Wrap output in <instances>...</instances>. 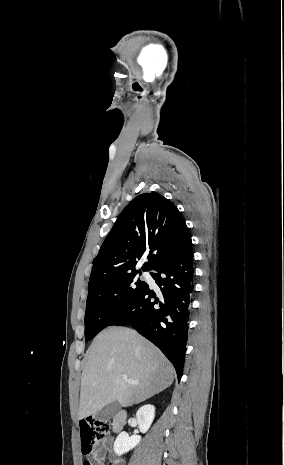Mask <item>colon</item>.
I'll use <instances>...</instances> for the list:
<instances>
[{
	"mask_svg": "<svg viewBox=\"0 0 284 465\" xmlns=\"http://www.w3.org/2000/svg\"><path fill=\"white\" fill-rule=\"evenodd\" d=\"M110 434V424L108 422H92L89 426L81 430V455L87 457L93 450L96 441L103 440ZM84 465H90L85 462Z\"/></svg>",
	"mask_w": 284,
	"mask_h": 465,
	"instance_id": "5ec220e1",
	"label": "colon"
}]
</instances>
